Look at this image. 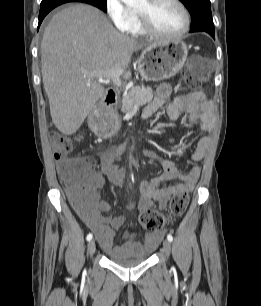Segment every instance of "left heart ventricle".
<instances>
[{"instance_id":"obj_1","label":"left heart ventricle","mask_w":261,"mask_h":306,"mask_svg":"<svg viewBox=\"0 0 261 306\" xmlns=\"http://www.w3.org/2000/svg\"><path fill=\"white\" fill-rule=\"evenodd\" d=\"M136 10L148 12L153 25L161 32L173 34L183 27L182 11L170 0H159L152 5L142 0Z\"/></svg>"}]
</instances>
